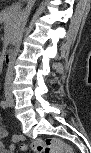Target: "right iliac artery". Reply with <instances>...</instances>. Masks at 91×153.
<instances>
[{"label":"right iliac artery","instance_id":"right-iliac-artery-1","mask_svg":"<svg viewBox=\"0 0 91 153\" xmlns=\"http://www.w3.org/2000/svg\"><path fill=\"white\" fill-rule=\"evenodd\" d=\"M1 107L3 108V109H6L7 107H8V103H7V101H1Z\"/></svg>","mask_w":91,"mask_h":153}]
</instances>
